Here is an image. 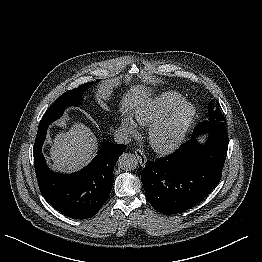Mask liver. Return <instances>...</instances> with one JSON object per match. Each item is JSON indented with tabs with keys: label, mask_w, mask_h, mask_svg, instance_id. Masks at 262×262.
<instances>
[{
	"label": "liver",
	"mask_w": 262,
	"mask_h": 262,
	"mask_svg": "<svg viewBox=\"0 0 262 262\" xmlns=\"http://www.w3.org/2000/svg\"><path fill=\"white\" fill-rule=\"evenodd\" d=\"M150 89L133 85L124 94L119 111L128 113L140 106L152 103ZM98 149L97 138L92 130L81 122H73L67 131L55 136L50 156L52 169L59 172H74L90 162Z\"/></svg>",
	"instance_id": "obj_1"
}]
</instances>
